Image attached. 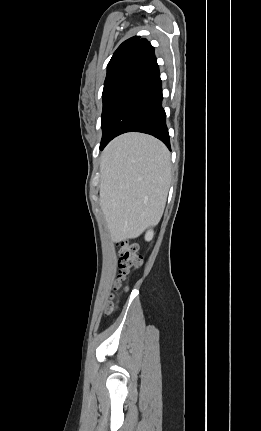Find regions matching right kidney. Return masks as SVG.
<instances>
[{"label":"right kidney","mask_w":261,"mask_h":431,"mask_svg":"<svg viewBox=\"0 0 261 431\" xmlns=\"http://www.w3.org/2000/svg\"><path fill=\"white\" fill-rule=\"evenodd\" d=\"M153 235H154L153 231H152V230H149V231L146 233V235H145V239H146L147 241H150V240L153 238Z\"/></svg>","instance_id":"1"}]
</instances>
